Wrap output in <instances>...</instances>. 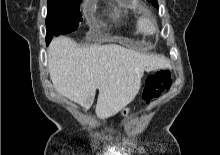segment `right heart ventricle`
<instances>
[{
    "instance_id": "e07e8e85",
    "label": "right heart ventricle",
    "mask_w": 220,
    "mask_h": 155,
    "mask_svg": "<svg viewBox=\"0 0 220 155\" xmlns=\"http://www.w3.org/2000/svg\"><path fill=\"white\" fill-rule=\"evenodd\" d=\"M115 16H116L118 25L122 29L128 32L134 33V34L139 33V29L137 27V19L132 13L119 8L115 10Z\"/></svg>"
}]
</instances>
